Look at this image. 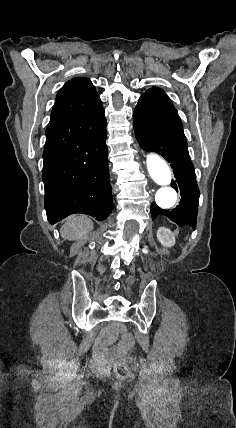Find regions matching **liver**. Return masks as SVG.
Instances as JSON below:
<instances>
[{
    "instance_id": "1",
    "label": "liver",
    "mask_w": 236,
    "mask_h": 428,
    "mask_svg": "<svg viewBox=\"0 0 236 428\" xmlns=\"http://www.w3.org/2000/svg\"><path fill=\"white\" fill-rule=\"evenodd\" d=\"M93 224L86 216H70L65 220L60 234L64 240H79L92 230Z\"/></svg>"
}]
</instances>
